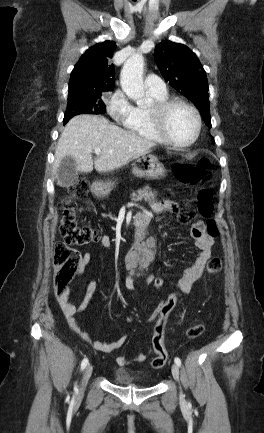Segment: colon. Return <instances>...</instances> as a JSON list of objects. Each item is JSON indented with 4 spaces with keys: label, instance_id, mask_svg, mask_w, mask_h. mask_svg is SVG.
I'll list each match as a JSON object with an SVG mask.
<instances>
[{
    "label": "colon",
    "instance_id": "colon-1",
    "mask_svg": "<svg viewBox=\"0 0 264 433\" xmlns=\"http://www.w3.org/2000/svg\"><path fill=\"white\" fill-rule=\"evenodd\" d=\"M212 163L209 159H201L196 165H175L174 174L176 179L185 185L202 184L196 197V211L182 210L177 218L182 223L190 222L196 215L203 217L211 216L213 213L212 193L209 182L212 178ZM88 193L85 181H79L70 189V196L63 201L62 215L60 220V233L64 240L60 242L54 255L55 267V293L62 296L68 291V286L74 278L80 255L73 246H86L101 241V233L86 225H80L77 218L76 200L83 199ZM207 231L211 236L219 234L218 226L214 219L207 223ZM222 261L219 257H212L207 263V272L216 273L220 271ZM178 294L171 293L159 306L158 318L154 326L152 346L155 357L152 359L154 368H161L167 361V352L164 346L165 329L168 318L177 305ZM204 331L202 324L190 326L187 329L189 338H197Z\"/></svg>",
    "mask_w": 264,
    "mask_h": 433
}]
</instances>
